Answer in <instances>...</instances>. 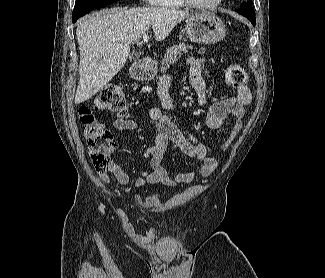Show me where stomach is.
I'll use <instances>...</instances> for the list:
<instances>
[{"mask_svg":"<svg viewBox=\"0 0 325 278\" xmlns=\"http://www.w3.org/2000/svg\"><path fill=\"white\" fill-rule=\"evenodd\" d=\"M187 37L195 43L214 44L225 36L223 21L213 13L202 12L191 15L186 21ZM156 65L148 68L137 67L132 71V77L139 81H150L156 75Z\"/></svg>","mask_w":325,"mask_h":278,"instance_id":"0dacf381","label":"stomach"}]
</instances>
